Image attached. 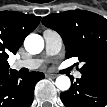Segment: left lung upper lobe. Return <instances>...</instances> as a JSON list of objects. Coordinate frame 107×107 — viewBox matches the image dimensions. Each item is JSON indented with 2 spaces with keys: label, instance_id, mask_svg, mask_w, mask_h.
<instances>
[{
  "label": "left lung upper lobe",
  "instance_id": "5c2ea615",
  "mask_svg": "<svg viewBox=\"0 0 107 107\" xmlns=\"http://www.w3.org/2000/svg\"><path fill=\"white\" fill-rule=\"evenodd\" d=\"M42 23L57 31L66 47V58L78 57L82 75L107 79V19L84 10L50 14Z\"/></svg>",
  "mask_w": 107,
  "mask_h": 107
}]
</instances>
